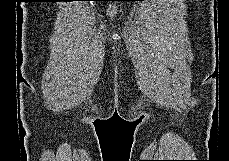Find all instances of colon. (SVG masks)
Segmentation results:
<instances>
[{
	"label": "colon",
	"instance_id": "colon-1",
	"mask_svg": "<svg viewBox=\"0 0 229 161\" xmlns=\"http://www.w3.org/2000/svg\"><path fill=\"white\" fill-rule=\"evenodd\" d=\"M116 12H117V10H116V8H115L114 6H112V7H110V8L108 9V14H109L110 16H114V15L116 14Z\"/></svg>",
	"mask_w": 229,
	"mask_h": 161
}]
</instances>
